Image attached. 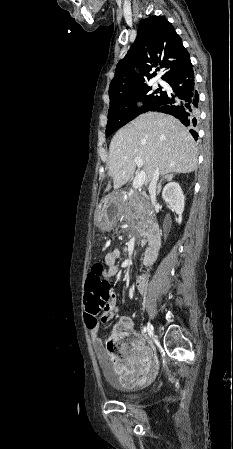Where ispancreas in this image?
Masks as SVG:
<instances>
[{
	"mask_svg": "<svg viewBox=\"0 0 233 449\" xmlns=\"http://www.w3.org/2000/svg\"><path fill=\"white\" fill-rule=\"evenodd\" d=\"M122 210L124 218L133 228H145L153 222L150 205L142 195L129 193Z\"/></svg>",
	"mask_w": 233,
	"mask_h": 449,
	"instance_id": "obj_1",
	"label": "pancreas"
}]
</instances>
